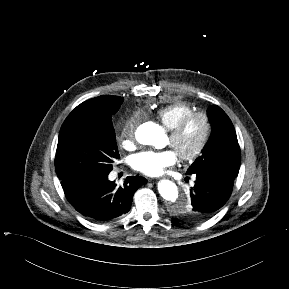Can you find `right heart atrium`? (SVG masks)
Masks as SVG:
<instances>
[{
  "instance_id": "right-heart-atrium-1",
  "label": "right heart atrium",
  "mask_w": 289,
  "mask_h": 289,
  "mask_svg": "<svg viewBox=\"0 0 289 289\" xmlns=\"http://www.w3.org/2000/svg\"><path fill=\"white\" fill-rule=\"evenodd\" d=\"M135 126V120L130 119L124 126L122 131V137H123V146L126 148H129L132 146V134Z\"/></svg>"
}]
</instances>
